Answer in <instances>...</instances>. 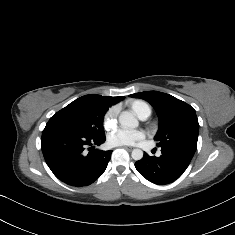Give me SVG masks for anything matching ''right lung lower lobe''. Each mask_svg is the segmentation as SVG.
Listing matches in <instances>:
<instances>
[{
  "label": "right lung lower lobe",
  "mask_w": 235,
  "mask_h": 235,
  "mask_svg": "<svg viewBox=\"0 0 235 235\" xmlns=\"http://www.w3.org/2000/svg\"><path fill=\"white\" fill-rule=\"evenodd\" d=\"M104 141L105 137H93L70 126L48 122L41 148L48 167L59 180L81 187L93 183L106 170L112 151L93 147Z\"/></svg>",
  "instance_id": "98d812e1"
}]
</instances>
